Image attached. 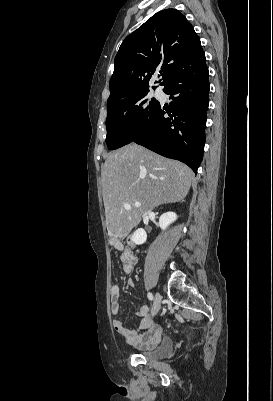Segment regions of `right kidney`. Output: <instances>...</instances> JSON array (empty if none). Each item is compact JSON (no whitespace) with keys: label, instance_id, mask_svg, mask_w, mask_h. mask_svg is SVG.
Segmentation results:
<instances>
[{"label":"right kidney","instance_id":"obj_1","mask_svg":"<svg viewBox=\"0 0 273 401\" xmlns=\"http://www.w3.org/2000/svg\"><path fill=\"white\" fill-rule=\"evenodd\" d=\"M176 219H177L176 213H163V215H161V217L159 219V227H161V229H163V231H165V229H167V227H169V225H171V223H174V221H176ZM132 239H133L135 245H142V243H145V241L147 239V235H146L144 229H137V231H135Z\"/></svg>","mask_w":273,"mask_h":401}]
</instances>
